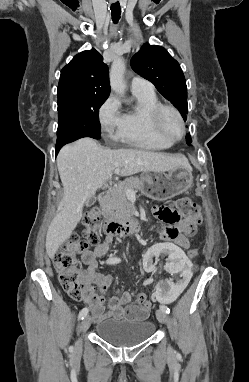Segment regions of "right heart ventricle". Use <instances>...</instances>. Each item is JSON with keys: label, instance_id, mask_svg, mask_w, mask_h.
Here are the masks:
<instances>
[{"label": "right heart ventricle", "instance_id": "right-heart-ventricle-1", "mask_svg": "<svg viewBox=\"0 0 249 382\" xmlns=\"http://www.w3.org/2000/svg\"><path fill=\"white\" fill-rule=\"evenodd\" d=\"M138 106L124 114L125 121L117 139L126 144L145 150H164L173 142L161 137L151 121L152 110L160 105L155 93L132 92Z\"/></svg>", "mask_w": 249, "mask_h": 382}]
</instances>
